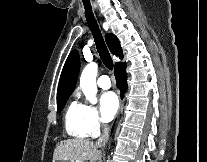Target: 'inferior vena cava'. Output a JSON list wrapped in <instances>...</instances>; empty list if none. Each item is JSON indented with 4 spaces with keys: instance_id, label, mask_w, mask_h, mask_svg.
I'll use <instances>...</instances> for the list:
<instances>
[{
    "instance_id": "inferior-vena-cava-1",
    "label": "inferior vena cava",
    "mask_w": 207,
    "mask_h": 162,
    "mask_svg": "<svg viewBox=\"0 0 207 162\" xmlns=\"http://www.w3.org/2000/svg\"><path fill=\"white\" fill-rule=\"evenodd\" d=\"M108 139H109V127L107 125H104L102 135L96 141V145L98 147H104L105 144L108 142Z\"/></svg>"
}]
</instances>
